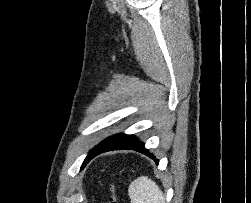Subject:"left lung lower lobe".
<instances>
[{
    "mask_svg": "<svg viewBox=\"0 0 251 203\" xmlns=\"http://www.w3.org/2000/svg\"><path fill=\"white\" fill-rule=\"evenodd\" d=\"M131 149L153 158L158 164V160L155 159L153 154L148 152V150L145 148L142 142H140L135 136L126 134H118L115 137H113L109 142L99 146L93 153H91L87 157L84 163H88L92 158L99 155L100 153L112 150H131Z\"/></svg>",
    "mask_w": 251,
    "mask_h": 203,
    "instance_id": "0a47b994",
    "label": "left lung lower lobe"
}]
</instances>
